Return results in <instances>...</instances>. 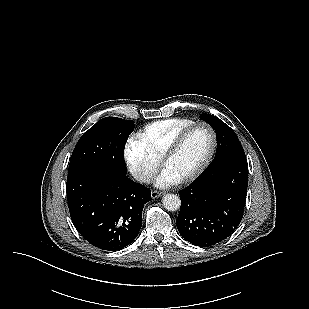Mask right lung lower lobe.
Listing matches in <instances>:
<instances>
[{
    "instance_id": "obj_1",
    "label": "right lung lower lobe",
    "mask_w": 309,
    "mask_h": 309,
    "mask_svg": "<svg viewBox=\"0 0 309 309\" xmlns=\"http://www.w3.org/2000/svg\"><path fill=\"white\" fill-rule=\"evenodd\" d=\"M67 197L71 220L93 246L107 251L131 244L142 224L151 191L126 176L99 167L68 174Z\"/></svg>"
}]
</instances>
